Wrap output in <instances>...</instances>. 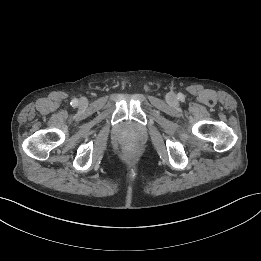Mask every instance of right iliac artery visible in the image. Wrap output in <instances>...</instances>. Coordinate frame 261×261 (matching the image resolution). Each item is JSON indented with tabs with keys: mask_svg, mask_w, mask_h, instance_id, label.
<instances>
[{
	"mask_svg": "<svg viewBox=\"0 0 261 261\" xmlns=\"http://www.w3.org/2000/svg\"><path fill=\"white\" fill-rule=\"evenodd\" d=\"M78 104V100L77 99H73L71 102L72 106H76Z\"/></svg>",
	"mask_w": 261,
	"mask_h": 261,
	"instance_id": "82829eb1",
	"label": "right iliac artery"
}]
</instances>
